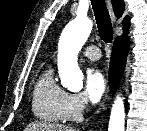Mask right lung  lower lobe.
Listing matches in <instances>:
<instances>
[{"mask_svg":"<svg viewBox=\"0 0 147 131\" xmlns=\"http://www.w3.org/2000/svg\"><path fill=\"white\" fill-rule=\"evenodd\" d=\"M127 34V33H125ZM129 51V42L126 37H118L112 49L109 69V81L112 90L116 91L125 68L126 58Z\"/></svg>","mask_w":147,"mask_h":131,"instance_id":"right-lung-lower-lobe-1","label":"right lung lower lobe"}]
</instances>
